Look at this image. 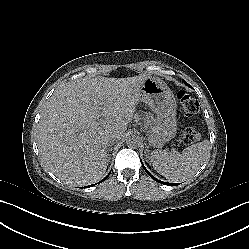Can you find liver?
<instances>
[{
  "label": "liver",
  "instance_id": "1",
  "mask_svg": "<svg viewBox=\"0 0 249 249\" xmlns=\"http://www.w3.org/2000/svg\"><path fill=\"white\" fill-rule=\"evenodd\" d=\"M146 78L84 80L59 91L38 124L41 160L55 172L74 174L79 183L100 180L108 165L106 139L122 137Z\"/></svg>",
  "mask_w": 249,
  "mask_h": 249
}]
</instances>
